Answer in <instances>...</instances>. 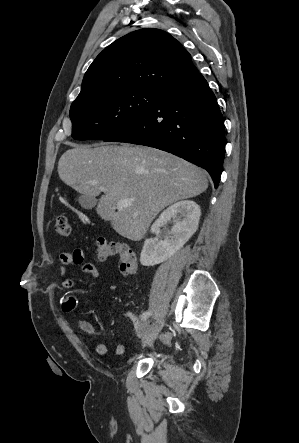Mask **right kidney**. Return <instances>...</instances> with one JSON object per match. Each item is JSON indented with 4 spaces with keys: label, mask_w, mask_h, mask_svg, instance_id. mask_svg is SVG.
I'll list each match as a JSON object with an SVG mask.
<instances>
[{
    "label": "right kidney",
    "mask_w": 299,
    "mask_h": 443,
    "mask_svg": "<svg viewBox=\"0 0 299 443\" xmlns=\"http://www.w3.org/2000/svg\"><path fill=\"white\" fill-rule=\"evenodd\" d=\"M200 216V207L191 200L179 201L164 210L152 225L151 232H159L160 227L172 219L171 233L161 240L153 238L145 240L140 255L141 264L153 266L169 259L196 232Z\"/></svg>",
    "instance_id": "right-kidney-1"
}]
</instances>
